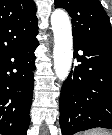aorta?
Here are the masks:
<instances>
[{
    "label": "aorta",
    "instance_id": "762f6f07",
    "mask_svg": "<svg viewBox=\"0 0 112 135\" xmlns=\"http://www.w3.org/2000/svg\"><path fill=\"white\" fill-rule=\"evenodd\" d=\"M54 34V70L59 80L64 81L69 75L73 58L72 27L68 14L56 9L51 15Z\"/></svg>",
    "mask_w": 112,
    "mask_h": 135
}]
</instances>
